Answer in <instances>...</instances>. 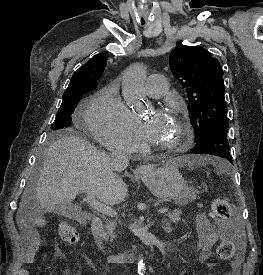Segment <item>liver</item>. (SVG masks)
Segmentation results:
<instances>
[{"instance_id": "1", "label": "liver", "mask_w": 263, "mask_h": 275, "mask_svg": "<svg viewBox=\"0 0 263 275\" xmlns=\"http://www.w3.org/2000/svg\"><path fill=\"white\" fill-rule=\"evenodd\" d=\"M196 161L190 156L176 159L180 163ZM123 169L78 135H59L46 150L37 186L27 187L21 197L17 224L21 227L32 210L44 214L57 204H70L79 192H90L107 205L123 202L128 190L116 174Z\"/></svg>"}]
</instances>
